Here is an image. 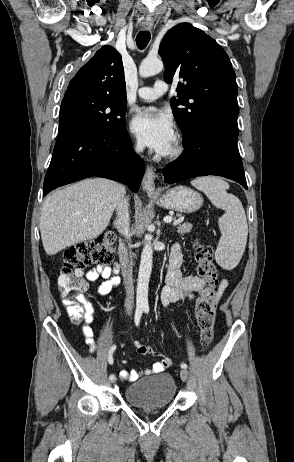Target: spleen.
Returning <instances> with one entry per match:
<instances>
[{"label": "spleen", "instance_id": "1", "mask_svg": "<svg viewBox=\"0 0 294 462\" xmlns=\"http://www.w3.org/2000/svg\"><path fill=\"white\" fill-rule=\"evenodd\" d=\"M191 185L204 192L214 206L225 211L218 221L222 236L215 251V260L222 268L231 270L240 262L248 236L242 203L236 196L227 193L229 184L218 177H199L191 181Z\"/></svg>", "mask_w": 294, "mask_h": 462}]
</instances>
